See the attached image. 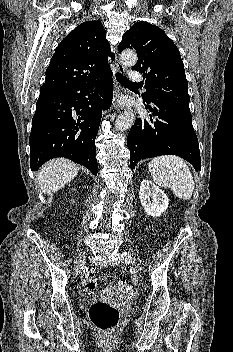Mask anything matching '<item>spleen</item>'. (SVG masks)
Returning <instances> with one entry per match:
<instances>
[{"label": "spleen", "instance_id": "obj_1", "mask_svg": "<svg viewBox=\"0 0 233 352\" xmlns=\"http://www.w3.org/2000/svg\"><path fill=\"white\" fill-rule=\"evenodd\" d=\"M148 170L161 187L170 188L179 199L189 200L194 191V180L186 162L174 155L152 159Z\"/></svg>", "mask_w": 233, "mask_h": 352}]
</instances>
